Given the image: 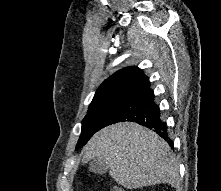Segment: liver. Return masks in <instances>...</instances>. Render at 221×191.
I'll return each instance as SVG.
<instances>
[{"label":"liver","instance_id":"1","mask_svg":"<svg viewBox=\"0 0 221 191\" xmlns=\"http://www.w3.org/2000/svg\"><path fill=\"white\" fill-rule=\"evenodd\" d=\"M94 158L104 160L110 176L127 189L179 184L178 165L169 145L137 123H117L97 132L85 147L82 162Z\"/></svg>","mask_w":221,"mask_h":191}]
</instances>
